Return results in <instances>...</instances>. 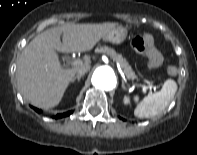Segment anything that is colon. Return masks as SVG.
<instances>
[{
  "mask_svg": "<svg viewBox=\"0 0 197 155\" xmlns=\"http://www.w3.org/2000/svg\"><path fill=\"white\" fill-rule=\"evenodd\" d=\"M132 46L139 52L146 53L150 61L154 65H159L161 63V55L156 50L152 41H149L146 37L142 39L141 37H134L132 40ZM175 69H169V73H174Z\"/></svg>",
  "mask_w": 197,
  "mask_h": 155,
  "instance_id": "5ec220e1",
  "label": "colon"
}]
</instances>
